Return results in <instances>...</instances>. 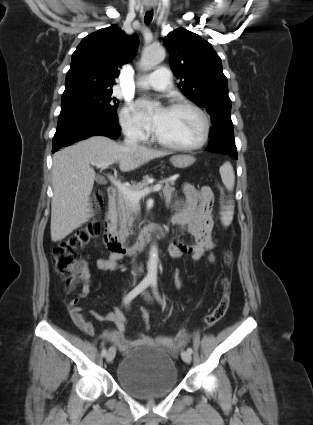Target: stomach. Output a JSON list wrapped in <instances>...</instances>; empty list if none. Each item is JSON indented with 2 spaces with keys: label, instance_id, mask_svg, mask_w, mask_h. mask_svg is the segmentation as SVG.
Wrapping results in <instances>:
<instances>
[{
  "label": "stomach",
  "instance_id": "1",
  "mask_svg": "<svg viewBox=\"0 0 313 425\" xmlns=\"http://www.w3.org/2000/svg\"><path fill=\"white\" fill-rule=\"evenodd\" d=\"M195 158L191 155L180 154L174 155L170 158V162L176 168L184 169L189 167L195 162Z\"/></svg>",
  "mask_w": 313,
  "mask_h": 425
}]
</instances>
